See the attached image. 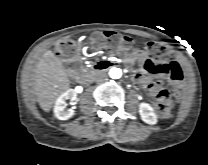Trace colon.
Returning <instances> with one entry per match:
<instances>
[{"mask_svg": "<svg viewBox=\"0 0 208 165\" xmlns=\"http://www.w3.org/2000/svg\"><path fill=\"white\" fill-rule=\"evenodd\" d=\"M97 46H106L111 49L125 50L132 46L133 41L130 37L113 31H107L102 35L94 38ZM56 52L63 57H69L73 54V44L68 40L60 41L56 46ZM148 59L154 61L167 60L169 56L168 50L157 43H150L147 46ZM172 104L171 96L165 89H159L156 95L155 109L160 116L168 115Z\"/></svg>", "mask_w": 208, "mask_h": 165, "instance_id": "colon-1", "label": "colon"}]
</instances>
